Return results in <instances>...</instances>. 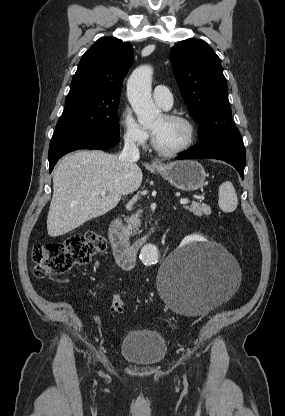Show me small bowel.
I'll return each instance as SVG.
<instances>
[{"label":"small bowel","instance_id":"1","mask_svg":"<svg viewBox=\"0 0 285 416\" xmlns=\"http://www.w3.org/2000/svg\"><path fill=\"white\" fill-rule=\"evenodd\" d=\"M93 321L98 325L100 324V321H99L98 317H93Z\"/></svg>","mask_w":285,"mask_h":416}]
</instances>
